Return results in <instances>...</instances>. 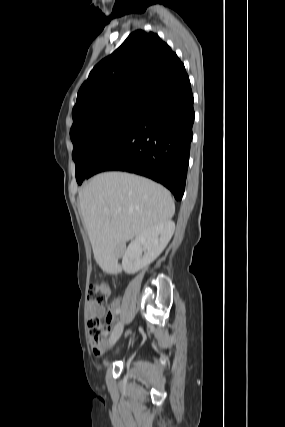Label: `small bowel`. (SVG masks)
Segmentation results:
<instances>
[{"instance_id": "obj_1", "label": "small bowel", "mask_w": 285, "mask_h": 427, "mask_svg": "<svg viewBox=\"0 0 285 427\" xmlns=\"http://www.w3.org/2000/svg\"><path fill=\"white\" fill-rule=\"evenodd\" d=\"M119 305H120V301L118 299H115L111 302L107 310L104 304H98L92 301L89 303V306H88V317L90 320L101 319L103 317H106L108 322H114L115 314L118 311ZM95 353H98V352H95Z\"/></svg>"}]
</instances>
